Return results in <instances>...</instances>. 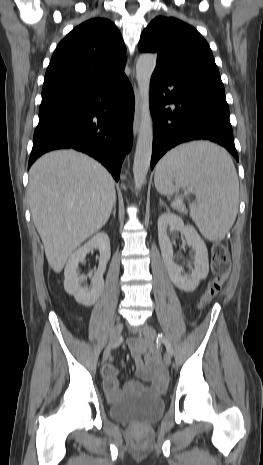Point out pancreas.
Segmentation results:
<instances>
[{"label":"pancreas","mask_w":263,"mask_h":465,"mask_svg":"<svg viewBox=\"0 0 263 465\" xmlns=\"http://www.w3.org/2000/svg\"><path fill=\"white\" fill-rule=\"evenodd\" d=\"M175 209H176L178 212L182 213V214H186V213H187V210H186L185 206H184L182 203H178V204L176 205Z\"/></svg>","instance_id":"1"}]
</instances>
